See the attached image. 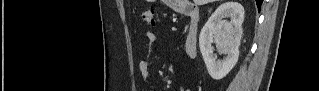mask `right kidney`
Masks as SVG:
<instances>
[{
    "mask_svg": "<svg viewBox=\"0 0 319 91\" xmlns=\"http://www.w3.org/2000/svg\"><path fill=\"white\" fill-rule=\"evenodd\" d=\"M243 20L242 5L229 1L215 10L200 32V51L209 75L215 80L224 78L238 61ZM213 41L220 53L227 54L223 60H217L214 55Z\"/></svg>",
    "mask_w": 319,
    "mask_h": 91,
    "instance_id": "1",
    "label": "right kidney"
}]
</instances>
